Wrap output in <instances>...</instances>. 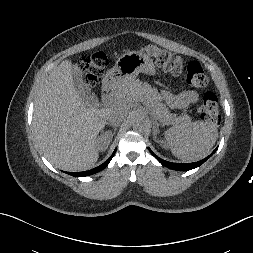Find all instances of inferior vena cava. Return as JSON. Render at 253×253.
Here are the masks:
<instances>
[{
    "label": "inferior vena cava",
    "instance_id": "1",
    "mask_svg": "<svg viewBox=\"0 0 253 253\" xmlns=\"http://www.w3.org/2000/svg\"><path fill=\"white\" fill-rule=\"evenodd\" d=\"M127 114H128V110L126 108H123V107L112 108L109 111L107 120L110 125L118 126L121 124V122L125 120V118L127 117Z\"/></svg>",
    "mask_w": 253,
    "mask_h": 253
}]
</instances>
